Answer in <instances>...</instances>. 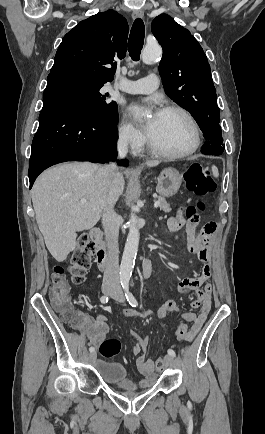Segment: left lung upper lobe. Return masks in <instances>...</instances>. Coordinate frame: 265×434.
Wrapping results in <instances>:
<instances>
[{"instance_id":"1","label":"left lung upper lobe","mask_w":265,"mask_h":434,"mask_svg":"<svg viewBox=\"0 0 265 434\" xmlns=\"http://www.w3.org/2000/svg\"><path fill=\"white\" fill-rule=\"evenodd\" d=\"M151 30L163 48L159 73L167 96L192 114L211 145L225 148L216 90L202 47L167 14L156 17Z\"/></svg>"}]
</instances>
